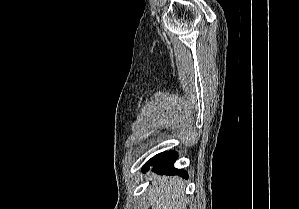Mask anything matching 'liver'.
I'll use <instances>...</instances> for the list:
<instances>
[{
    "instance_id": "obj_1",
    "label": "liver",
    "mask_w": 299,
    "mask_h": 209,
    "mask_svg": "<svg viewBox=\"0 0 299 209\" xmlns=\"http://www.w3.org/2000/svg\"><path fill=\"white\" fill-rule=\"evenodd\" d=\"M154 179L148 193L152 209H182V205H186L183 182L179 178L155 176Z\"/></svg>"
}]
</instances>
